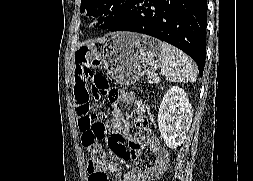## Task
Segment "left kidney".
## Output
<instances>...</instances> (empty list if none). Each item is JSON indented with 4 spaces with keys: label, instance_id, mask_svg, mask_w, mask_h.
Instances as JSON below:
<instances>
[{
    "label": "left kidney",
    "instance_id": "left-kidney-1",
    "mask_svg": "<svg viewBox=\"0 0 253 181\" xmlns=\"http://www.w3.org/2000/svg\"><path fill=\"white\" fill-rule=\"evenodd\" d=\"M192 117L193 110L186 92L180 87H171L164 95L158 112L159 131L167 147L176 149L184 142Z\"/></svg>",
    "mask_w": 253,
    "mask_h": 181
}]
</instances>
